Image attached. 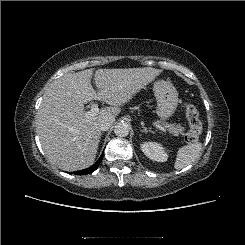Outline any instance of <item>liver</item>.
I'll return each mask as SVG.
<instances>
[{"label":"liver","mask_w":245,"mask_h":245,"mask_svg":"<svg viewBox=\"0 0 245 245\" xmlns=\"http://www.w3.org/2000/svg\"><path fill=\"white\" fill-rule=\"evenodd\" d=\"M162 71L152 67L97 69L67 73L45 91L37 118V128L47 158L64 171L88 168L96 158L101 130L99 121L115 117L120 106L152 82ZM101 100L111 105L90 118L83 116L84 104Z\"/></svg>","instance_id":"6515ba94"}]
</instances>
